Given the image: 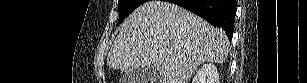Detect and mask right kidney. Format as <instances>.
<instances>
[{"instance_id": "1", "label": "right kidney", "mask_w": 307, "mask_h": 83, "mask_svg": "<svg viewBox=\"0 0 307 83\" xmlns=\"http://www.w3.org/2000/svg\"><path fill=\"white\" fill-rule=\"evenodd\" d=\"M193 83H219V74L214 64L207 63L196 72Z\"/></svg>"}]
</instances>
